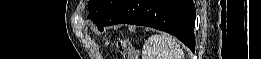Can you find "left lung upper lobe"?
<instances>
[{"label": "left lung upper lobe", "instance_id": "5c2ea615", "mask_svg": "<svg viewBox=\"0 0 261 59\" xmlns=\"http://www.w3.org/2000/svg\"><path fill=\"white\" fill-rule=\"evenodd\" d=\"M119 0H90L88 2V17L97 23L105 14H107Z\"/></svg>", "mask_w": 261, "mask_h": 59}]
</instances>
